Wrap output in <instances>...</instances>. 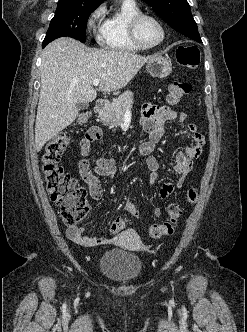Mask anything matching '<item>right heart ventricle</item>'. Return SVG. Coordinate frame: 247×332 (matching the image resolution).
Wrapping results in <instances>:
<instances>
[{
  "label": "right heart ventricle",
  "mask_w": 247,
  "mask_h": 332,
  "mask_svg": "<svg viewBox=\"0 0 247 332\" xmlns=\"http://www.w3.org/2000/svg\"><path fill=\"white\" fill-rule=\"evenodd\" d=\"M142 10L135 0H121L106 19L102 33L101 43L112 50L136 52L141 50L133 43L129 35V24L134 16Z\"/></svg>",
  "instance_id": "e07e8e85"
}]
</instances>
